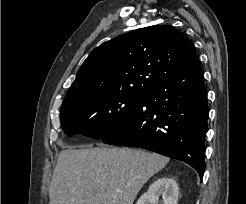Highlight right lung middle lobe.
Instances as JSON below:
<instances>
[{"label":"right lung middle lobe","mask_w":246,"mask_h":204,"mask_svg":"<svg viewBox=\"0 0 246 204\" xmlns=\"http://www.w3.org/2000/svg\"><path fill=\"white\" fill-rule=\"evenodd\" d=\"M141 93H116L97 96L61 108L60 121L69 137L81 133L101 139L121 126L133 110Z\"/></svg>","instance_id":"obj_1"}]
</instances>
